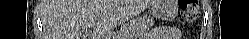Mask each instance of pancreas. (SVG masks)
Segmentation results:
<instances>
[{"label": "pancreas", "instance_id": "pancreas-1", "mask_svg": "<svg viewBox=\"0 0 249 39\" xmlns=\"http://www.w3.org/2000/svg\"><path fill=\"white\" fill-rule=\"evenodd\" d=\"M154 24V20L149 17H137L125 24L118 34L119 38L132 39L147 32Z\"/></svg>", "mask_w": 249, "mask_h": 39}]
</instances>
